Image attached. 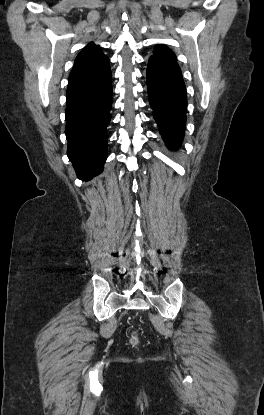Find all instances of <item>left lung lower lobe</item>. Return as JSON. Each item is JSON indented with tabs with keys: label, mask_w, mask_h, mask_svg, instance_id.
Wrapping results in <instances>:
<instances>
[{
	"label": "left lung lower lobe",
	"mask_w": 264,
	"mask_h": 415,
	"mask_svg": "<svg viewBox=\"0 0 264 415\" xmlns=\"http://www.w3.org/2000/svg\"><path fill=\"white\" fill-rule=\"evenodd\" d=\"M147 90L160 134L170 149L183 139L187 97L181 70L176 60L151 56L147 67Z\"/></svg>",
	"instance_id": "obj_1"
}]
</instances>
